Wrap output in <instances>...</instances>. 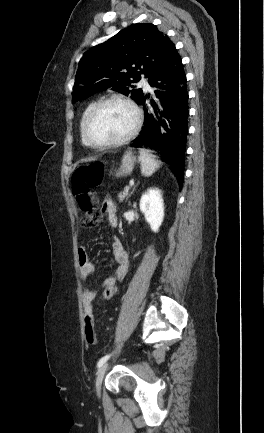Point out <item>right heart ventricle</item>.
Segmentation results:
<instances>
[{"label":"right heart ventricle","instance_id":"right-heart-ventricle-1","mask_svg":"<svg viewBox=\"0 0 264 433\" xmlns=\"http://www.w3.org/2000/svg\"><path fill=\"white\" fill-rule=\"evenodd\" d=\"M93 104H94V103L91 102V103H89V104L85 107V109H84V111H83V113H82L81 119H80V133H81V139H82V142H83L84 144H86V142H85V140L83 139V136H82V131H81V129H82V122H83V119H84V117H85L87 111L90 109V107H91Z\"/></svg>","mask_w":264,"mask_h":433}]
</instances>
